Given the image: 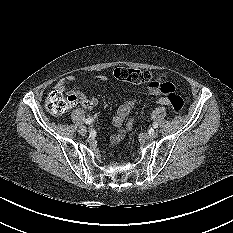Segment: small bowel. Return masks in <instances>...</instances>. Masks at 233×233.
I'll list each match as a JSON object with an SVG mask.
<instances>
[{"mask_svg":"<svg viewBox=\"0 0 233 233\" xmlns=\"http://www.w3.org/2000/svg\"><path fill=\"white\" fill-rule=\"evenodd\" d=\"M96 78L99 81H106L107 80V77L104 76V75H99ZM74 79H75L74 76H71V75L60 79L57 82V84L55 85V91H58L60 93L66 92V84L73 82ZM148 92H149V94H151L153 96H162L164 94V92L162 90H160L156 86H148ZM68 96L74 97L75 102H79L84 106L90 107V106H94V105L97 104V99L96 98L87 97L79 90L69 91ZM158 102L161 105L170 106V104H169L166 97H160L158 99ZM134 105H135V99L134 98L129 99V100L125 101L123 104L120 105V107L118 108L116 114L114 115L113 124L117 128V130L111 137V142L113 144H118L119 142H121L124 139L127 130L130 129V127H131L130 123L128 124L127 129H122L121 126L124 123V121L126 120L128 114L133 109Z\"/></svg>","mask_w":233,"mask_h":233,"instance_id":"small-bowel-1","label":"small bowel"}]
</instances>
